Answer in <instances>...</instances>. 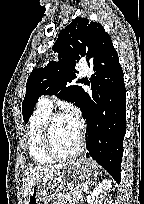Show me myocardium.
Returning <instances> with one entry per match:
<instances>
[{
    "instance_id": "myocardium-1",
    "label": "myocardium",
    "mask_w": 144,
    "mask_h": 204,
    "mask_svg": "<svg viewBox=\"0 0 144 204\" xmlns=\"http://www.w3.org/2000/svg\"><path fill=\"white\" fill-rule=\"evenodd\" d=\"M64 116H66V114L59 113V112L50 114L46 120L44 130H43L44 149L48 155H50L52 158L57 159V160H67V159L74 158L82 152L83 147H84L85 136H84V131L81 125L78 144L74 151L70 153H60L56 149L54 142H53V127H54L55 121L58 118H61Z\"/></svg>"
}]
</instances>
